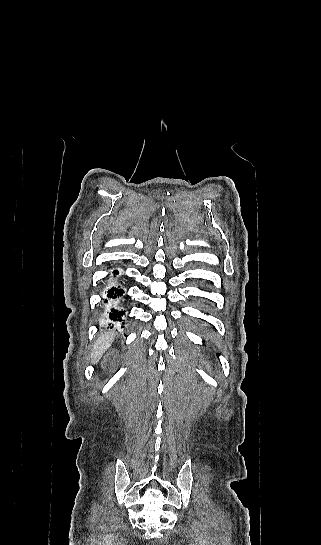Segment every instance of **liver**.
Instances as JSON below:
<instances>
[{
    "label": "liver",
    "mask_w": 321,
    "mask_h": 545,
    "mask_svg": "<svg viewBox=\"0 0 321 545\" xmlns=\"http://www.w3.org/2000/svg\"><path fill=\"white\" fill-rule=\"evenodd\" d=\"M114 337L115 333H113V331H111V333H102V335H99L97 341H95L93 345L90 355L91 363H93V365L99 363L102 355L111 347Z\"/></svg>",
    "instance_id": "6515ba94"
}]
</instances>
